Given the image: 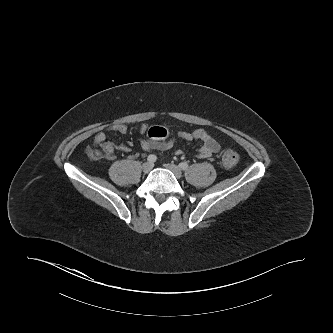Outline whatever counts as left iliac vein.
Wrapping results in <instances>:
<instances>
[{
    "mask_svg": "<svg viewBox=\"0 0 333 333\" xmlns=\"http://www.w3.org/2000/svg\"><path fill=\"white\" fill-rule=\"evenodd\" d=\"M164 167L166 168V169H168V170H170L173 174H174V176L176 177V178H181L182 177V171H181V169L178 167V166H176V165H174V164H169V163H167V164H164Z\"/></svg>",
    "mask_w": 333,
    "mask_h": 333,
    "instance_id": "obj_1",
    "label": "left iliac vein"
}]
</instances>
